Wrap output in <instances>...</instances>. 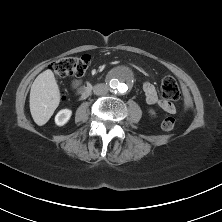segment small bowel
Masks as SVG:
<instances>
[{"mask_svg": "<svg viewBox=\"0 0 222 222\" xmlns=\"http://www.w3.org/2000/svg\"><path fill=\"white\" fill-rule=\"evenodd\" d=\"M82 80L81 79H75L72 82V89L74 91H78L81 88ZM143 91L145 94V99L148 104L156 105L163 111L174 114L176 112V107L174 104H172L169 101L162 100L158 97L157 91L155 89V86L150 82H145L143 84Z\"/></svg>", "mask_w": 222, "mask_h": 222, "instance_id": "c3829d8e", "label": "small bowel"}]
</instances>
